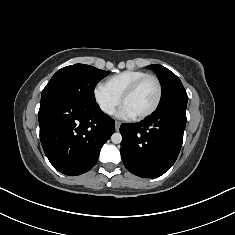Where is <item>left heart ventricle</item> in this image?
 Segmentation results:
<instances>
[{"label":"left heart ventricle","instance_id":"left-heart-ventricle-1","mask_svg":"<svg viewBox=\"0 0 235 235\" xmlns=\"http://www.w3.org/2000/svg\"><path fill=\"white\" fill-rule=\"evenodd\" d=\"M157 94L156 82L153 79H148L124 101L123 106L127 107L134 116L139 115L154 105Z\"/></svg>","mask_w":235,"mask_h":235}]
</instances>
